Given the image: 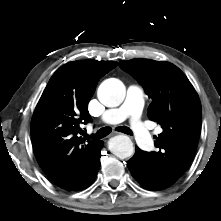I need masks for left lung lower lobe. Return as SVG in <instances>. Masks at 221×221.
Instances as JSON below:
<instances>
[{
  "label": "left lung lower lobe",
  "instance_id": "1",
  "mask_svg": "<svg viewBox=\"0 0 221 221\" xmlns=\"http://www.w3.org/2000/svg\"><path fill=\"white\" fill-rule=\"evenodd\" d=\"M128 169L132 176L149 190H162L166 187L162 183L158 173L155 171L148 152L136 147L134 156L128 161Z\"/></svg>",
  "mask_w": 221,
  "mask_h": 221
}]
</instances>
